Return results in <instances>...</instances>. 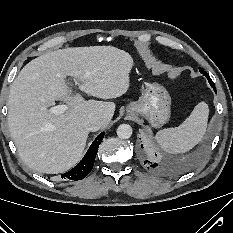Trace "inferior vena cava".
Segmentation results:
<instances>
[{"instance_id":"602c4592","label":"inferior vena cava","mask_w":233,"mask_h":233,"mask_svg":"<svg viewBox=\"0 0 233 233\" xmlns=\"http://www.w3.org/2000/svg\"><path fill=\"white\" fill-rule=\"evenodd\" d=\"M103 121L100 117L96 115H89L82 121V126L87 131L95 132L101 128Z\"/></svg>"}]
</instances>
